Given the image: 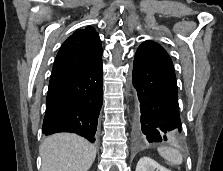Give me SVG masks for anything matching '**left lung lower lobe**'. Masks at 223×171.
<instances>
[{"instance_id":"1","label":"left lung lower lobe","mask_w":223,"mask_h":171,"mask_svg":"<svg viewBox=\"0 0 223 171\" xmlns=\"http://www.w3.org/2000/svg\"><path fill=\"white\" fill-rule=\"evenodd\" d=\"M132 81L138 96L134 125L136 145L179 139L182 130L176 76L163 47L153 41L139 46Z\"/></svg>"}]
</instances>
